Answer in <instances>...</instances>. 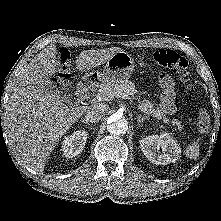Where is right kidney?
<instances>
[{
  "label": "right kidney",
  "instance_id": "ca27d5eb",
  "mask_svg": "<svg viewBox=\"0 0 221 221\" xmlns=\"http://www.w3.org/2000/svg\"><path fill=\"white\" fill-rule=\"evenodd\" d=\"M88 132L85 130L74 131L61 142V150L67 158H73L80 154L86 144Z\"/></svg>",
  "mask_w": 221,
  "mask_h": 221
}]
</instances>
